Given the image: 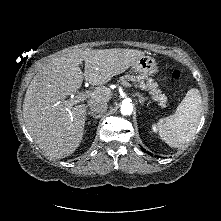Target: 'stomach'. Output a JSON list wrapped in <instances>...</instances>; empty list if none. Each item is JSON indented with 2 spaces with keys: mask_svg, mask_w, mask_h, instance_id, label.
Returning <instances> with one entry per match:
<instances>
[{
  "mask_svg": "<svg viewBox=\"0 0 221 221\" xmlns=\"http://www.w3.org/2000/svg\"><path fill=\"white\" fill-rule=\"evenodd\" d=\"M132 70L144 76L155 74L159 71L154 58L150 56H142L131 66Z\"/></svg>",
  "mask_w": 221,
  "mask_h": 221,
  "instance_id": "obj_1",
  "label": "stomach"
}]
</instances>
